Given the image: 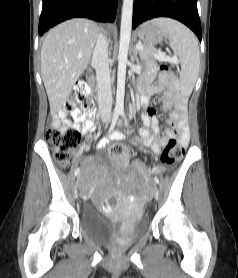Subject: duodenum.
Here are the masks:
<instances>
[{"instance_id":"obj_1","label":"duodenum","mask_w":238,"mask_h":278,"mask_svg":"<svg viewBox=\"0 0 238 278\" xmlns=\"http://www.w3.org/2000/svg\"><path fill=\"white\" fill-rule=\"evenodd\" d=\"M135 107H137V101H136V103L133 105V109H134Z\"/></svg>"}]
</instances>
